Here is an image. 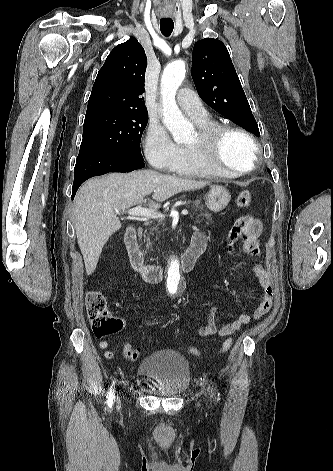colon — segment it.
Masks as SVG:
<instances>
[{
  "mask_svg": "<svg viewBox=\"0 0 333 471\" xmlns=\"http://www.w3.org/2000/svg\"><path fill=\"white\" fill-rule=\"evenodd\" d=\"M237 205L241 208L247 207L251 202V194L248 190L242 191L237 197ZM87 316L96 337L100 338L112 333L120 331L124 326V321L114 316L107 307L105 296L99 291H90L85 299ZM232 346V339L227 338L219 353L227 352ZM189 351L193 354L199 355L200 351L193 347H188ZM123 355L129 360H135L139 356V351L135 349L130 343L123 345Z\"/></svg>",
  "mask_w": 333,
  "mask_h": 471,
  "instance_id": "5ec220e1",
  "label": "colon"
}]
</instances>
